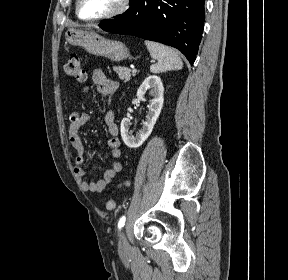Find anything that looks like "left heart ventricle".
<instances>
[{"label": "left heart ventricle", "instance_id": "b2bd125f", "mask_svg": "<svg viewBox=\"0 0 288 280\" xmlns=\"http://www.w3.org/2000/svg\"><path fill=\"white\" fill-rule=\"evenodd\" d=\"M121 0H81L80 13L85 18L107 14L118 7Z\"/></svg>", "mask_w": 288, "mask_h": 280}]
</instances>
